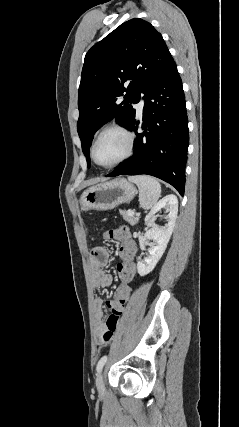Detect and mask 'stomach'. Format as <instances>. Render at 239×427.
<instances>
[{
    "mask_svg": "<svg viewBox=\"0 0 239 427\" xmlns=\"http://www.w3.org/2000/svg\"><path fill=\"white\" fill-rule=\"evenodd\" d=\"M135 194L136 188L133 184L124 178H117L86 189L81 197V205L84 210H111L130 202Z\"/></svg>",
    "mask_w": 239,
    "mask_h": 427,
    "instance_id": "stomach-1",
    "label": "stomach"
}]
</instances>
